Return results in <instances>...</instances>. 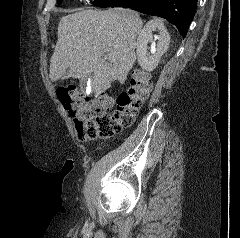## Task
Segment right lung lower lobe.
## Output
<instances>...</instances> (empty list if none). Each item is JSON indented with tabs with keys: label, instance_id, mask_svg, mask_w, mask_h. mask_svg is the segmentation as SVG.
I'll use <instances>...</instances> for the list:
<instances>
[{
	"label": "right lung lower lobe",
	"instance_id": "1",
	"mask_svg": "<svg viewBox=\"0 0 240 238\" xmlns=\"http://www.w3.org/2000/svg\"><path fill=\"white\" fill-rule=\"evenodd\" d=\"M98 7H124L156 15L173 23L186 36L195 15L197 0H95Z\"/></svg>",
	"mask_w": 240,
	"mask_h": 238
}]
</instances>
